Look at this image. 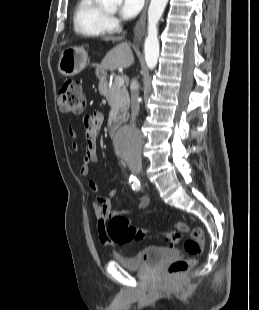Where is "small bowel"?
I'll return each mask as SVG.
<instances>
[{"label": "small bowel", "instance_id": "c3829d8e", "mask_svg": "<svg viewBox=\"0 0 259 310\" xmlns=\"http://www.w3.org/2000/svg\"><path fill=\"white\" fill-rule=\"evenodd\" d=\"M102 122L103 115L98 111L86 115L82 120L84 126L85 154L82 158L80 166V175L83 178L88 179V187L93 193H97L99 190L97 182L91 179L90 175L91 165L97 162L96 141ZM67 132L68 136L73 140L71 145L72 149L77 151L79 149V144L76 142V131L73 127H69ZM148 204L149 199L147 197H142L139 201L138 208H145ZM92 212L96 219L97 230L101 243L106 247H113L115 244L108 235L107 220L117 214L111 210L109 198L96 195L95 201L92 204Z\"/></svg>", "mask_w": 259, "mask_h": 310}]
</instances>
